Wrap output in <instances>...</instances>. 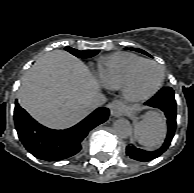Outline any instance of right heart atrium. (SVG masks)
<instances>
[{
  "label": "right heart atrium",
  "mask_w": 194,
  "mask_h": 193,
  "mask_svg": "<svg viewBox=\"0 0 194 193\" xmlns=\"http://www.w3.org/2000/svg\"><path fill=\"white\" fill-rule=\"evenodd\" d=\"M100 84L103 85V86H106L101 80H100ZM107 87V86H106Z\"/></svg>",
  "instance_id": "right-heart-atrium-1"
}]
</instances>
